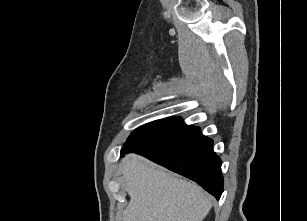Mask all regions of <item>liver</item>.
Returning <instances> with one entry per match:
<instances>
[{
	"mask_svg": "<svg viewBox=\"0 0 307 221\" xmlns=\"http://www.w3.org/2000/svg\"><path fill=\"white\" fill-rule=\"evenodd\" d=\"M130 202L123 221H202L211 198L197 184L180 179L135 154L122 162Z\"/></svg>",
	"mask_w": 307,
	"mask_h": 221,
	"instance_id": "6515ba94",
	"label": "liver"
}]
</instances>
